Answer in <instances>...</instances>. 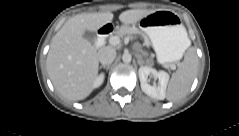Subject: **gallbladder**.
Listing matches in <instances>:
<instances>
[{"label": "gallbladder", "mask_w": 239, "mask_h": 136, "mask_svg": "<svg viewBox=\"0 0 239 136\" xmlns=\"http://www.w3.org/2000/svg\"><path fill=\"white\" fill-rule=\"evenodd\" d=\"M84 39H86L87 41H89L90 43H95L96 41V34L92 31H85L83 34Z\"/></svg>", "instance_id": "bac80fb5"}]
</instances>
